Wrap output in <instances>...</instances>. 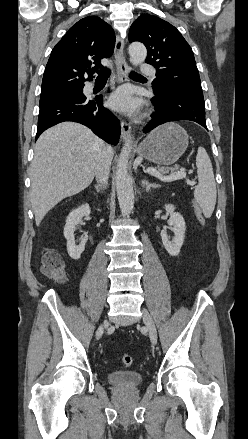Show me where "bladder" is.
I'll return each instance as SVG.
<instances>
[{
    "instance_id": "1",
    "label": "bladder",
    "mask_w": 248,
    "mask_h": 439,
    "mask_svg": "<svg viewBox=\"0 0 248 439\" xmlns=\"http://www.w3.org/2000/svg\"><path fill=\"white\" fill-rule=\"evenodd\" d=\"M106 377L111 386L118 388H135L143 382V375L133 371L110 372Z\"/></svg>"
}]
</instances>
